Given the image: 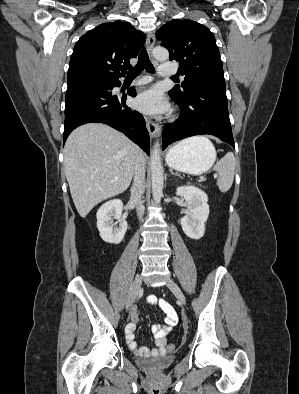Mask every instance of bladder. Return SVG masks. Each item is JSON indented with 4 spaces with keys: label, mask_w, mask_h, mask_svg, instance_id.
Here are the masks:
<instances>
[{
    "label": "bladder",
    "mask_w": 299,
    "mask_h": 394,
    "mask_svg": "<svg viewBox=\"0 0 299 394\" xmlns=\"http://www.w3.org/2000/svg\"><path fill=\"white\" fill-rule=\"evenodd\" d=\"M175 361V356L166 355L152 359H138L137 364L150 371H161L169 367Z\"/></svg>",
    "instance_id": "obj_1"
}]
</instances>
